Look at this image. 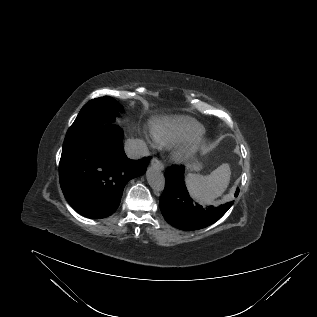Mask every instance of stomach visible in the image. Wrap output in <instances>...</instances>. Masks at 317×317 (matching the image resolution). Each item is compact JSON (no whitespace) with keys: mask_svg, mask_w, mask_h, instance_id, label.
Here are the masks:
<instances>
[{"mask_svg":"<svg viewBox=\"0 0 317 317\" xmlns=\"http://www.w3.org/2000/svg\"><path fill=\"white\" fill-rule=\"evenodd\" d=\"M189 168L192 170H195V171H199L202 168V166L200 163L194 162V163L189 165Z\"/></svg>","mask_w":317,"mask_h":317,"instance_id":"1","label":"stomach"}]
</instances>
